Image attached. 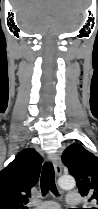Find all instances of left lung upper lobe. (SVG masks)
<instances>
[{"instance_id": "1", "label": "left lung upper lobe", "mask_w": 98, "mask_h": 209, "mask_svg": "<svg viewBox=\"0 0 98 209\" xmlns=\"http://www.w3.org/2000/svg\"><path fill=\"white\" fill-rule=\"evenodd\" d=\"M62 161L76 179L80 194L98 206V157L74 143L65 149Z\"/></svg>"}]
</instances>
